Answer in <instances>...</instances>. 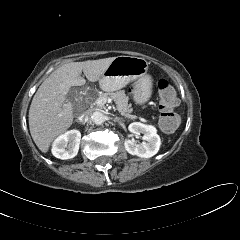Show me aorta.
Here are the masks:
<instances>
[{"label":"aorta","instance_id":"aorta-1","mask_svg":"<svg viewBox=\"0 0 240 240\" xmlns=\"http://www.w3.org/2000/svg\"><path fill=\"white\" fill-rule=\"evenodd\" d=\"M92 121L96 125H100L105 121V116L102 112L96 111L92 114Z\"/></svg>","mask_w":240,"mask_h":240}]
</instances>
